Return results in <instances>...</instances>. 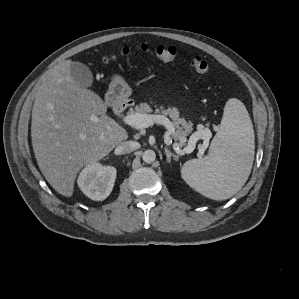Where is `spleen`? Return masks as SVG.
<instances>
[{
  "label": "spleen",
  "mask_w": 299,
  "mask_h": 299,
  "mask_svg": "<svg viewBox=\"0 0 299 299\" xmlns=\"http://www.w3.org/2000/svg\"><path fill=\"white\" fill-rule=\"evenodd\" d=\"M254 130L244 104L227 101L219 131L210 152L203 159L184 163L181 175L195 191L213 199L225 200L246 183L254 160Z\"/></svg>",
  "instance_id": "spleen-1"
}]
</instances>
